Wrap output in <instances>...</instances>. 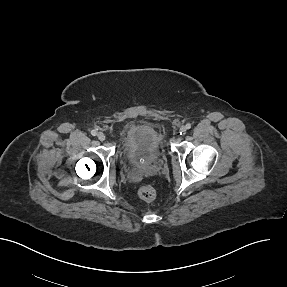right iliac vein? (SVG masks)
<instances>
[{
	"label": "right iliac vein",
	"instance_id": "obj_1",
	"mask_svg": "<svg viewBox=\"0 0 287 287\" xmlns=\"http://www.w3.org/2000/svg\"><path fill=\"white\" fill-rule=\"evenodd\" d=\"M97 137L100 141H105V139H106L105 134L102 132L98 133Z\"/></svg>",
	"mask_w": 287,
	"mask_h": 287
}]
</instances>
